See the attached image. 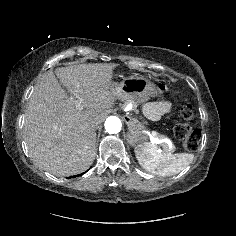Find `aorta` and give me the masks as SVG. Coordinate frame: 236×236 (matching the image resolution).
<instances>
[{"label":"aorta","mask_w":236,"mask_h":236,"mask_svg":"<svg viewBox=\"0 0 236 236\" xmlns=\"http://www.w3.org/2000/svg\"><path fill=\"white\" fill-rule=\"evenodd\" d=\"M122 127L121 120L116 116H110L105 121V129L110 134L119 133Z\"/></svg>","instance_id":"1"}]
</instances>
